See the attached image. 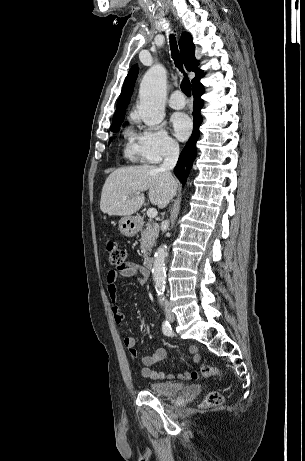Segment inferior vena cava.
Wrapping results in <instances>:
<instances>
[{
  "label": "inferior vena cava",
  "mask_w": 305,
  "mask_h": 461,
  "mask_svg": "<svg viewBox=\"0 0 305 461\" xmlns=\"http://www.w3.org/2000/svg\"><path fill=\"white\" fill-rule=\"evenodd\" d=\"M179 157V145L177 143H168L164 151V161L159 166V170L166 175H171V170L175 167ZM168 301L165 302V307H168Z\"/></svg>",
  "instance_id": "obj_1"
}]
</instances>
